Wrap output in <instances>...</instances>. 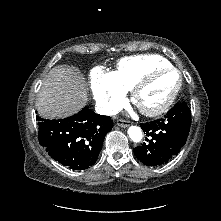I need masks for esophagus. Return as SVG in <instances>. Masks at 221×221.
<instances>
[{
    "label": "esophagus",
    "instance_id": "esophagus-1",
    "mask_svg": "<svg viewBox=\"0 0 221 221\" xmlns=\"http://www.w3.org/2000/svg\"><path fill=\"white\" fill-rule=\"evenodd\" d=\"M117 125L120 127L126 128V127L130 126V123H129V121L119 119V120H117Z\"/></svg>",
    "mask_w": 221,
    "mask_h": 221
}]
</instances>
